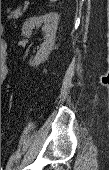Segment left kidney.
I'll use <instances>...</instances> for the list:
<instances>
[{"label":"left kidney","mask_w":109,"mask_h":170,"mask_svg":"<svg viewBox=\"0 0 109 170\" xmlns=\"http://www.w3.org/2000/svg\"><path fill=\"white\" fill-rule=\"evenodd\" d=\"M59 16L55 12H50L42 16H35L28 19L22 27V35L29 37L32 31L39 25L43 24V30L45 32L44 42L41 44L34 60L30 63L31 66H38L43 63L52 52L55 35L57 31Z\"/></svg>","instance_id":"5707ae66"}]
</instances>
